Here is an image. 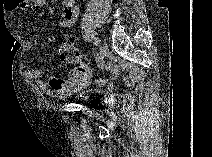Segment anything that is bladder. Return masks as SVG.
<instances>
[{"label": "bladder", "mask_w": 212, "mask_h": 157, "mask_svg": "<svg viewBox=\"0 0 212 157\" xmlns=\"http://www.w3.org/2000/svg\"><path fill=\"white\" fill-rule=\"evenodd\" d=\"M100 92L96 89H88L85 90L81 93L80 98L82 100L90 101L93 100L94 98L100 96Z\"/></svg>", "instance_id": "1"}]
</instances>
